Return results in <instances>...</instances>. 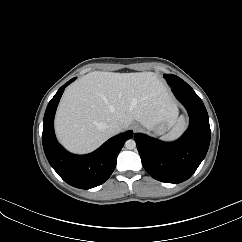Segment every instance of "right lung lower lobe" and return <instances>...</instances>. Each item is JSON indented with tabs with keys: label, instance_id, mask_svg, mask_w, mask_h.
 <instances>
[{
	"label": "right lung lower lobe",
	"instance_id": "right-lung-lower-lobe-1",
	"mask_svg": "<svg viewBox=\"0 0 242 242\" xmlns=\"http://www.w3.org/2000/svg\"><path fill=\"white\" fill-rule=\"evenodd\" d=\"M75 79L63 85L49 102L44 115L42 142L50 165L66 183L80 189H90L110 177L116 167L117 156L125 141L133 136V131L112 137L87 155L71 154L59 145L54 133V116L65 87Z\"/></svg>",
	"mask_w": 242,
	"mask_h": 242
}]
</instances>
